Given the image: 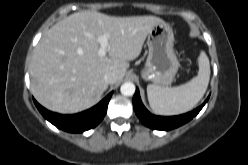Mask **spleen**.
Segmentation results:
<instances>
[{
    "instance_id": "3e777b00",
    "label": "spleen",
    "mask_w": 248,
    "mask_h": 165,
    "mask_svg": "<svg viewBox=\"0 0 248 165\" xmlns=\"http://www.w3.org/2000/svg\"><path fill=\"white\" fill-rule=\"evenodd\" d=\"M198 75L189 82L167 88L157 85L147 86V96L151 109L159 115H178L193 109L204 96L210 80V63L204 51L198 58Z\"/></svg>"
}]
</instances>
